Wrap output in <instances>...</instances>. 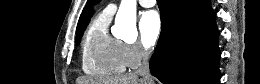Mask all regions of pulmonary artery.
Returning a JSON list of instances; mask_svg holds the SVG:
<instances>
[{"label":"pulmonary artery","instance_id":"1","mask_svg":"<svg viewBox=\"0 0 260 84\" xmlns=\"http://www.w3.org/2000/svg\"><path fill=\"white\" fill-rule=\"evenodd\" d=\"M139 3L141 6L146 8L153 7L155 5L154 0H140ZM116 10H117V4L111 3L105 8L104 11L112 15L113 13H115Z\"/></svg>","mask_w":260,"mask_h":84}]
</instances>
